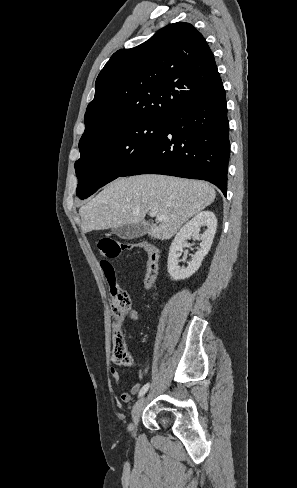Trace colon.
<instances>
[{
  "label": "colon",
  "mask_w": 297,
  "mask_h": 488,
  "mask_svg": "<svg viewBox=\"0 0 297 488\" xmlns=\"http://www.w3.org/2000/svg\"><path fill=\"white\" fill-rule=\"evenodd\" d=\"M98 246L103 256L108 259L115 258L119 256L121 252L131 250L135 247L144 249L148 256L144 285L149 291L155 289L159 255L158 250L154 246L145 243L135 245L120 242L109 237L101 239ZM108 259L101 260L100 265L111 288V307L113 314L117 319L113 333L112 360L118 365L128 366L131 364L132 359L119 327L120 320L130 311V298L126 291L119 289L116 286V271L113 264Z\"/></svg>",
  "instance_id": "obj_1"
}]
</instances>
